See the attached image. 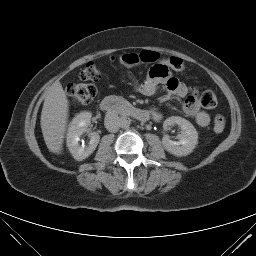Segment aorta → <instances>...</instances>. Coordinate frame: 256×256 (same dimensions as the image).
<instances>
[{
    "label": "aorta",
    "instance_id": "1",
    "mask_svg": "<svg viewBox=\"0 0 256 256\" xmlns=\"http://www.w3.org/2000/svg\"><path fill=\"white\" fill-rule=\"evenodd\" d=\"M131 124V119L127 116L121 117L120 119V127L121 128H128Z\"/></svg>",
    "mask_w": 256,
    "mask_h": 256
}]
</instances>
